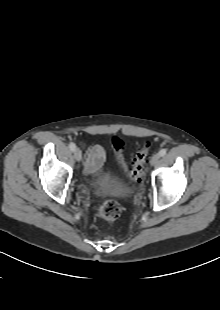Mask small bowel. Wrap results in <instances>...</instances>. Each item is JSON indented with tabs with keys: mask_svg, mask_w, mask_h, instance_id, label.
Listing matches in <instances>:
<instances>
[{
	"mask_svg": "<svg viewBox=\"0 0 220 310\" xmlns=\"http://www.w3.org/2000/svg\"><path fill=\"white\" fill-rule=\"evenodd\" d=\"M106 162V153L102 146L93 145L86 149L84 171L89 177L96 176Z\"/></svg>",
	"mask_w": 220,
	"mask_h": 310,
	"instance_id": "1",
	"label": "small bowel"
}]
</instances>
